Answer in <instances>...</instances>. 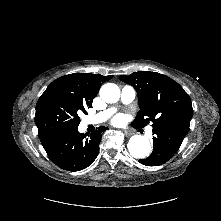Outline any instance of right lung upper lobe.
Returning <instances> with one entry per match:
<instances>
[{
    "instance_id": "cb5924a9",
    "label": "right lung upper lobe",
    "mask_w": 221,
    "mask_h": 221,
    "mask_svg": "<svg viewBox=\"0 0 221 221\" xmlns=\"http://www.w3.org/2000/svg\"><path fill=\"white\" fill-rule=\"evenodd\" d=\"M111 78L113 76L73 73L56 79L47 87L46 91L50 89L63 90L91 107L93 99L98 94L103 82Z\"/></svg>"
}]
</instances>
